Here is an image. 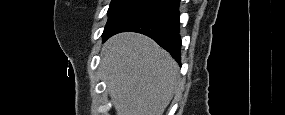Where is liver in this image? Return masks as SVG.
I'll use <instances>...</instances> for the list:
<instances>
[{
	"instance_id": "6515ba94",
	"label": "liver",
	"mask_w": 285,
	"mask_h": 115,
	"mask_svg": "<svg viewBox=\"0 0 285 115\" xmlns=\"http://www.w3.org/2000/svg\"><path fill=\"white\" fill-rule=\"evenodd\" d=\"M100 69L117 115H163L179 84V66L171 55L137 33L110 38Z\"/></svg>"
}]
</instances>
